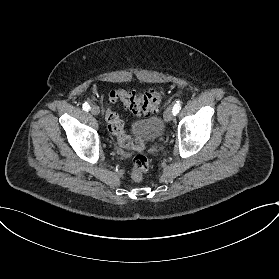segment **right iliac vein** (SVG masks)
Returning <instances> with one entry per match:
<instances>
[{"instance_id":"63e3f726","label":"right iliac vein","mask_w":279,"mask_h":279,"mask_svg":"<svg viewBox=\"0 0 279 279\" xmlns=\"http://www.w3.org/2000/svg\"><path fill=\"white\" fill-rule=\"evenodd\" d=\"M90 112H91V114H93V115H98V114L100 113V109H99L98 106H95V105H94V106L91 107Z\"/></svg>"}]
</instances>
